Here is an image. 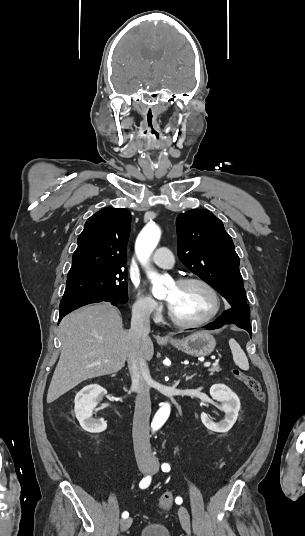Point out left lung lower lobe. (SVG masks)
<instances>
[{"mask_svg":"<svg viewBox=\"0 0 305 536\" xmlns=\"http://www.w3.org/2000/svg\"><path fill=\"white\" fill-rule=\"evenodd\" d=\"M225 324H236L239 328L246 330L250 336L252 327L249 321V306L244 305L236 308H230L215 322L206 326L207 329L221 328Z\"/></svg>","mask_w":305,"mask_h":536,"instance_id":"1","label":"left lung lower lobe"}]
</instances>
